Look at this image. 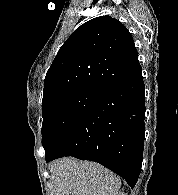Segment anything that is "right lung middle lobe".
Instances as JSON below:
<instances>
[{"label": "right lung middle lobe", "mask_w": 178, "mask_h": 195, "mask_svg": "<svg viewBox=\"0 0 178 195\" xmlns=\"http://www.w3.org/2000/svg\"><path fill=\"white\" fill-rule=\"evenodd\" d=\"M99 91L80 89L55 95L42 102V145L49 155L77 125Z\"/></svg>", "instance_id": "right-lung-middle-lobe-1"}]
</instances>
